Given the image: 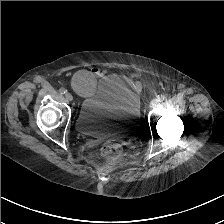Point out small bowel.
Instances as JSON below:
<instances>
[{"mask_svg": "<svg viewBox=\"0 0 224 224\" xmlns=\"http://www.w3.org/2000/svg\"><path fill=\"white\" fill-rule=\"evenodd\" d=\"M92 72H93L97 77L103 76V75L106 73V71L101 70V69L98 68V67L93 68V69H92Z\"/></svg>", "mask_w": 224, "mask_h": 224, "instance_id": "c3829d8e", "label": "small bowel"}]
</instances>
